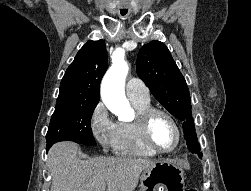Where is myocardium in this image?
<instances>
[{
    "label": "myocardium",
    "instance_id": "obj_1",
    "mask_svg": "<svg viewBox=\"0 0 251 191\" xmlns=\"http://www.w3.org/2000/svg\"><path fill=\"white\" fill-rule=\"evenodd\" d=\"M158 114H161V115L168 117L172 121V123L174 124V126L177 130V133L179 136V141H178V145L176 146V148L173 151L163 152V151L159 150L155 146L154 142L152 141L151 124H152L154 117ZM137 121L139 124L141 136H142L144 143L156 155H160V156L173 155V154L177 153L182 148V146L184 144V133H183V130H182L178 120L171 112H169L165 109H161V108L150 107L148 109H145V110H142L139 112Z\"/></svg>",
    "mask_w": 251,
    "mask_h": 191
}]
</instances>
